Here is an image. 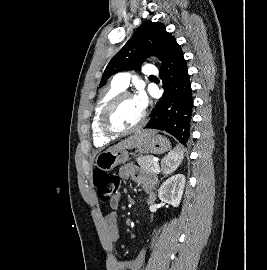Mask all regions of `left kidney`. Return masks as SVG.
I'll use <instances>...</instances> for the list:
<instances>
[{"label": "left kidney", "instance_id": "5707ae66", "mask_svg": "<svg viewBox=\"0 0 267 270\" xmlns=\"http://www.w3.org/2000/svg\"><path fill=\"white\" fill-rule=\"evenodd\" d=\"M185 181L186 179L183 174H176L169 177L162 183L158 190L159 199L173 207H178L183 195Z\"/></svg>", "mask_w": 267, "mask_h": 270}]
</instances>
